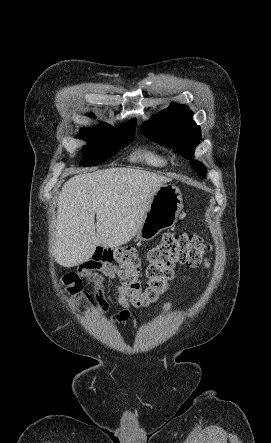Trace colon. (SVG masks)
I'll use <instances>...</instances> for the list:
<instances>
[{"instance_id":"5ec220e1","label":"colon","mask_w":271,"mask_h":443,"mask_svg":"<svg viewBox=\"0 0 271 443\" xmlns=\"http://www.w3.org/2000/svg\"><path fill=\"white\" fill-rule=\"evenodd\" d=\"M210 246L199 236L186 233L165 234L160 243L147 253V284L140 282L141 260L132 247H97L92 260L97 263L119 265L120 292L134 307L155 303L168 289L177 265L208 266Z\"/></svg>"}]
</instances>
